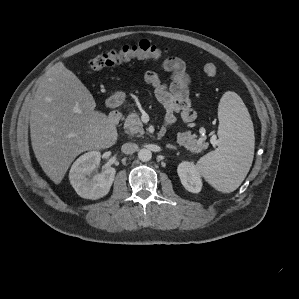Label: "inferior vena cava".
Masks as SVG:
<instances>
[{"instance_id":"602c4592","label":"inferior vena cava","mask_w":299,"mask_h":299,"mask_svg":"<svg viewBox=\"0 0 299 299\" xmlns=\"http://www.w3.org/2000/svg\"><path fill=\"white\" fill-rule=\"evenodd\" d=\"M138 149V145L135 143H124L121 147V151L124 154H133Z\"/></svg>"}]
</instances>
